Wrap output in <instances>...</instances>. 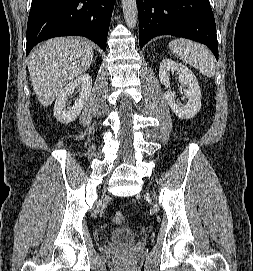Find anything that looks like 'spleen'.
Masks as SVG:
<instances>
[{
    "instance_id": "obj_1",
    "label": "spleen",
    "mask_w": 253,
    "mask_h": 271,
    "mask_svg": "<svg viewBox=\"0 0 253 271\" xmlns=\"http://www.w3.org/2000/svg\"><path fill=\"white\" fill-rule=\"evenodd\" d=\"M169 48L173 55L196 68L204 76L211 78L215 75L214 57L205 46L180 38L171 41Z\"/></svg>"
}]
</instances>
